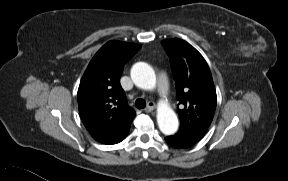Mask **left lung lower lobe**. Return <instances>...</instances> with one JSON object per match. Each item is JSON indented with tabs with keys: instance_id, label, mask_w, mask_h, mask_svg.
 <instances>
[{
	"instance_id": "left-lung-lower-lobe-1",
	"label": "left lung lower lobe",
	"mask_w": 288,
	"mask_h": 181,
	"mask_svg": "<svg viewBox=\"0 0 288 181\" xmlns=\"http://www.w3.org/2000/svg\"><path fill=\"white\" fill-rule=\"evenodd\" d=\"M206 131L179 130L175 135L167 136L165 140L175 148H188L198 142Z\"/></svg>"
}]
</instances>
